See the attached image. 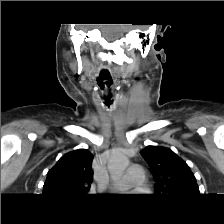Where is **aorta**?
Instances as JSON below:
<instances>
[{
  "label": "aorta",
  "instance_id": "aorta-1",
  "mask_svg": "<svg viewBox=\"0 0 224 224\" xmlns=\"http://www.w3.org/2000/svg\"><path fill=\"white\" fill-rule=\"evenodd\" d=\"M129 165V159L123 154H114L111 156L108 162V170L113 179H119L127 166Z\"/></svg>",
  "mask_w": 224,
  "mask_h": 224
}]
</instances>
